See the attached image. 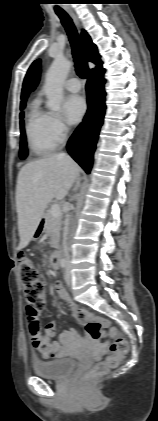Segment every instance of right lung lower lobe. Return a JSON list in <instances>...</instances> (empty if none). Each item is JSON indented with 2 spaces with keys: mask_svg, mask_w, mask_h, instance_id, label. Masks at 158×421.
<instances>
[{
  "mask_svg": "<svg viewBox=\"0 0 158 421\" xmlns=\"http://www.w3.org/2000/svg\"><path fill=\"white\" fill-rule=\"evenodd\" d=\"M104 72L102 66L91 70L86 84L88 110L67 144L69 154L88 174L106 109Z\"/></svg>",
  "mask_w": 158,
  "mask_h": 421,
  "instance_id": "obj_1",
  "label": "right lung lower lobe"
}]
</instances>
